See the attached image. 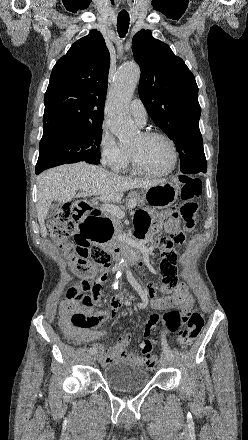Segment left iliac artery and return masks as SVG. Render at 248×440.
Here are the masks:
<instances>
[{
    "instance_id": "left-iliac-artery-1",
    "label": "left iliac artery",
    "mask_w": 248,
    "mask_h": 440,
    "mask_svg": "<svg viewBox=\"0 0 248 440\" xmlns=\"http://www.w3.org/2000/svg\"><path fill=\"white\" fill-rule=\"evenodd\" d=\"M161 340H162V349H163L164 354L167 357H169L170 359L173 358L172 351L168 347V344H167V341H166V338L164 337V335L162 336Z\"/></svg>"
}]
</instances>
